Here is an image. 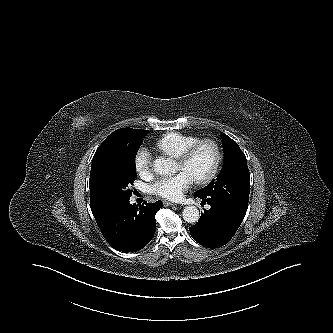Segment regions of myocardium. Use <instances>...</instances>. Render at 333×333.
Wrapping results in <instances>:
<instances>
[{
    "label": "myocardium",
    "mask_w": 333,
    "mask_h": 333,
    "mask_svg": "<svg viewBox=\"0 0 333 333\" xmlns=\"http://www.w3.org/2000/svg\"><path fill=\"white\" fill-rule=\"evenodd\" d=\"M204 145L209 146L213 150L214 161L210 171L204 177L194 179V181L200 185L210 183L219 172L222 163V152L219 144L212 139H201L192 144L179 158H177L178 162L187 164L193 158L198 149Z\"/></svg>",
    "instance_id": "myocardium-1"
}]
</instances>
